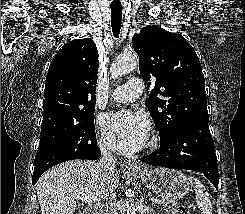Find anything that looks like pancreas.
Segmentation results:
<instances>
[{
	"label": "pancreas",
	"mask_w": 245,
	"mask_h": 214,
	"mask_svg": "<svg viewBox=\"0 0 245 214\" xmlns=\"http://www.w3.org/2000/svg\"><path fill=\"white\" fill-rule=\"evenodd\" d=\"M163 202H164L163 203L164 207H167V205L170 203L169 200H164ZM104 214H109V213L105 212Z\"/></svg>",
	"instance_id": "cf45deb5"
}]
</instances>
